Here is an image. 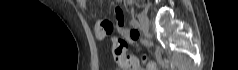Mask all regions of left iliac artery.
I'll use <instances>...</instances> for the list:
<instances>
[{
  "instance_id": "1",
  "label": "left iliac artery",
  "mask_w": 238,
  "mask_h": 70,
  "mask_svg": "<svg viewBox=\"0 0 238 70\" xmlns=\"http://www.w3.org/2000/svg\"><path fill=\"white\" fill-rule=\"evenodd\" d=\"M130 23H131V25H132L133 27H137V26H138V22H137V20L134 19V18L131 20Z\"/></svg>"
}]
</instances>
